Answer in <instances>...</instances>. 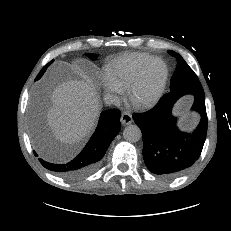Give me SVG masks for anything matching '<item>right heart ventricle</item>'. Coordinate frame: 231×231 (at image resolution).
<instances>
[{
	"mask_svg": "<svg viewBox=\"0 0 231 231\" xmlns=\"http://www.w3.org/2000/svg\"><path fill=\"white\" fill-rule=\"evenodd\" d=\"M152 58L147 53L125 54L107 66L106 74L124 90L129 87L143 65Z\"/></svg>",
	"mask_w": 231,
	"mask_h": 231,
	"instance_id": "obj_1",
	"label": "right heart ventricle"
}]
</instances>
